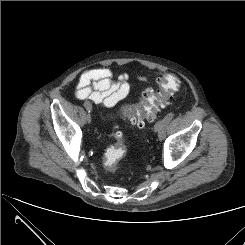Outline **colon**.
<instances>
[{"mask_svg":"<svg viewBox=\"0 0 245 245\" xmlns=\"http://www.w3.org/2000/svg\"><path fill=\"white\" fill-rule=\"evenodd\" d=\"M179 81L173 74H165L157 79L155 88H146L142 92L139 103L130 110L129 122L138 128L144 126L145 120L155 119L159 106L168 101L177 91ZM117 142L108 148L102 158L105 167L116 169V164L127 153V147L120 132L115 133Z\"/></svg>","mask_w":245,"mask_h":245,"instance_id":"colon-1","label":"colon"}]
</instances>
